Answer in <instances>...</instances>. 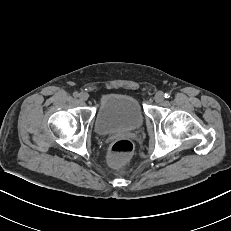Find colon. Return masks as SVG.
<instances>
[{"mask_svg":"<svg viewBox=\"0 0 231 231\" xmlns=\"http://www.w3.org/2000/svg\"><path fill=\"white\" fill-rule=\"evenodd\" d=\"M134 145L129 139L114 141L109 150V161L115 166L123 165L131 156Z\"/></svg>","mask_w":231,"mask_h":231,"instance_id":"colon-1","label":"colon"}]
</instances>
